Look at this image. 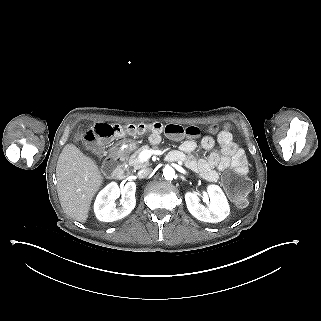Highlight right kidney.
Returning a JSON list of instances; mask_svg holds the SVG:
<instances>
[{"instance_id":"1","label":"right kidney","mask_w":321,"mask_h":321,"mask_svg":"<svg viewBox=\"0 0 321 321\" xmlns=\"http://www.w3.org/2000/svg\"><path fill=\"white\" fill-rule=\"evenodd\" d=\"M136 183L127 182L122 188L117 183L112 182L107 185L97 196L94 211L97 218L104 222H112L124 218L136 206ZM126 200L122 207L116 208V202L120 195Z\"/></svg>"}]
</instances>
